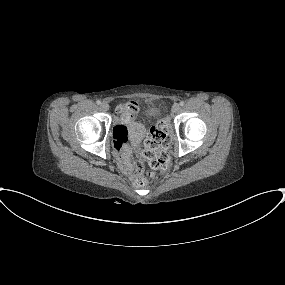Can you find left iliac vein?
<instances>
[{
	"mask_svg": "<svg viewBox=\"0 0 285 285\" xmlns=\"http://www.w3.org/2000/svg\"><path fill=\"white\" fill-rule=\"evenodd\" d=\"M180 111V105L175 103L173 106H172V112L174 113H177Z\"/></svg>",
	"mask_w": 285,
	"mask_h": 285,
	"instance_id": "obj_1",
	"label": "left iliac vein"
}]
</instances>
